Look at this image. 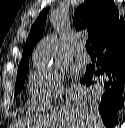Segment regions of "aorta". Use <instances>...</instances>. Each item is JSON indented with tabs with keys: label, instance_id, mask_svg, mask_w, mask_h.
I'll use <instances>...</instances> for the list:
<instances>
[{
	"label": "aorta",
	"instance_id": "762f6f07",
	"mask_svg": "<svg viewBox=\"0 0 125 128\" xmlns=\"http://www.w3.org/2000/svg\"><path fill=\"white\" fill-rule=\"evenodd\" d=\"M56 49V39L54 37H47L40 42L35 52V61L47 64L50 59V54Z\"/></svg>",
	"mask_w": 125,
	"mask_h": 128
}]
</instances>
